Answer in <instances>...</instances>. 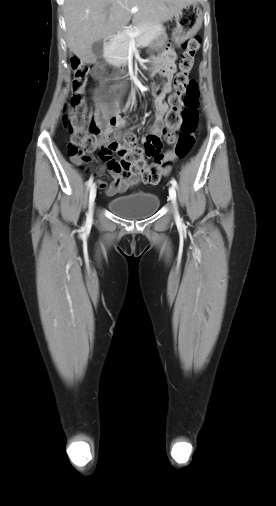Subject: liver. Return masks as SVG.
I'll list each match as a JSON object with an SVG mask.
<instances>
[{"label":"liver","instance_id":"obj_1","mask_svg":"<svg viewBox=\"0 0 276 506\" xmlns=\"http://www.w3.org/2000/svg\"><path fill=\"white\" fill-rule=\"evenodd\" d=\"M198 0H65L67 45L81 61L95 63L92 44L126 27L133 15L137 24H159L172 19ZM132 7H138L131 13Z\"/></svg>","mask_w":276,"mask_h":506}]
</instances>
